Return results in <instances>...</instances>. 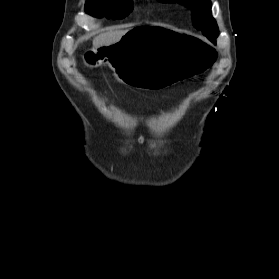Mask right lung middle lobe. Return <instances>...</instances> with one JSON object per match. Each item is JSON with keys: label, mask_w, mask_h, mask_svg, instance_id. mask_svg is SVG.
<instances>
[{"label": "right lung middle lobe", "mask_w": 279, "mask_h": 279, "mask_svg": "<svg viewBox=\"0 0 279 279\" xmlns=\"http://www.w3.org/2000/svg\"><path fill=\"white\" fill-rule=\"evenodd\" d=\"M131 1L124 0H88L85 4L86 13L92 16L105 15L113 19L124 18L132 10Z\"/></svg>", "instance_id": "obj_1"}]
</instances>
